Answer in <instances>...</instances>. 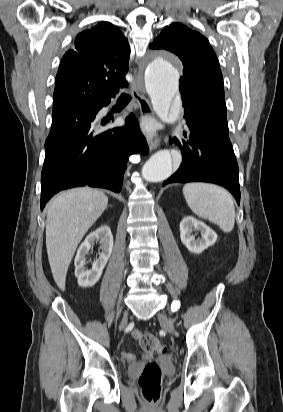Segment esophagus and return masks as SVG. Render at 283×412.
Instances as JSON below:
<instances>
[{"instance_id": "34e87169", "label": "esophagus", "mask_w": 283, "mask_h": 412, "mask_svg": "<svg viewBox=\"0 0 283 412\" xmlns=\"http://www.w3.org/2000/svg\"><path fill=\"white\" fill-rule=\"evenodd\" d=\"M131 92L133 95L134 100L137 102L141 116H146L151 114L152 108L151 103L146 96L145 90L143 86L139 85L137 78H134L131 84ZM160 139L157 133H154L148 139V145L150 150H154L158 147Z\"/></svg>"}]
</instances>
